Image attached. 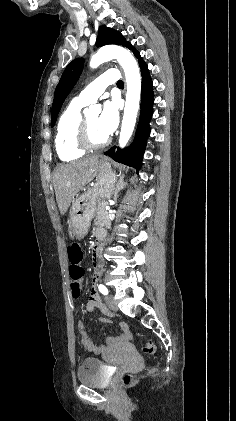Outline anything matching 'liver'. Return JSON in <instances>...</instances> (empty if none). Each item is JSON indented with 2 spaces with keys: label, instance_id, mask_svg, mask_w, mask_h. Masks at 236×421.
<instances>
[{
  "label": "liver",
  "instance_id": "6515ba94",
  "mask_svg": "<svg viewBox=\"0 0 236 421\" xmlns=\"http://www.w3.org/2000/svg\"><path fill=\"white\" fill-rule=\"evenodd\" d=\"M98 162V156H88L71 164L56 166L53 182L61 215L68 211L75 194L96 176Z\"/></svg>",
  "mask_w": 236,
  "mask_h": 421
}]
</instances>
